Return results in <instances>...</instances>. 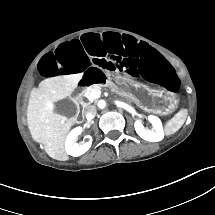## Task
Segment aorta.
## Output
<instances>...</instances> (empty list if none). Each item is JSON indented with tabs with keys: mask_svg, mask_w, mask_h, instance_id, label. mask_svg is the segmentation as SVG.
Returning a JSON list of instances; mask_svg holds the SVG:
<instances>
[{
	"mask_svg": "<svg viewBox=\"0 0 215 215\" xmlns=\"http://www.w3.org/2000/svg\"><path fill=\"white\" fill-rule=\"evenodd\" d=\"M97 106L100 109H104L106 107V101L105 100H99Z\"/></svg>",
	"mask_w": 215,
	"mask_h": 215,
	"instance_id": "1",
	"label": "aorta"
}]
</instances>
